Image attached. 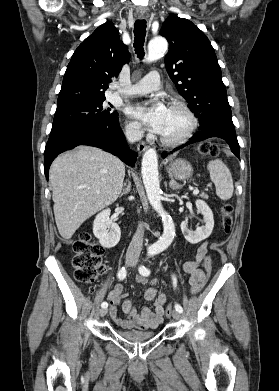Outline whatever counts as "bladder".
<instances>
[{
	"instance_id": "bladder-1",
	"label": "bladder",
	"mask_w": 279,
	"mask_h": 391,
	"mask_svg": "<svg viewBox=\"0 0 279 391\" xmlns=\"http://www.w3.org/2000/svg\"><path fill=\"white\" fill-rule=\"evenodd\" d=\"M117 335L127 341L133 343H140L147 341L154 337V332H139V331H129V330H117Z\"/></svg>"
}]
</instances>
